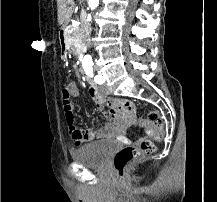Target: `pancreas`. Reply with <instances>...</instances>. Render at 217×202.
I'll return each instance as SVG.
<instances>
[{
  "label": "pancreas",
  "mask_w": 217,
  "mask_h": 202,
  "mask_svg": "<svg viewBox=\"0 0 217 202\" xmlns=\"http://www.w3.org/2000/svg\"><path fill=\"white\" fill-rule=\"evenodd\" d=\"M74 27V26H73ZM69 31L72 30V27L67 28ZM82 42V34H80V30H73L72 34H70L69 38V46L73 52H76L78 50L80 44Z\"/></svg>",
  "instance_id": "pancreas-1"
}]
</instances>
